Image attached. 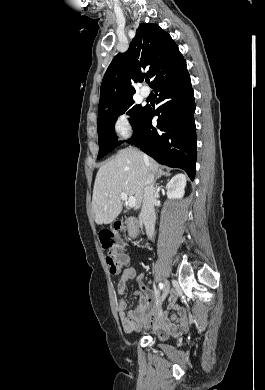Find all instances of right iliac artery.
<instances>
[{"label":"right iliac artery","instance_id":"1","mask_svg":"<svg viewBox=\"0 0 265 390\" xmlns=\"http://www.w3.org/2000/svg\"><path fill=\"white\" fill-rule=\"evenodd\" d=\"M163 287H164V284H163V283H159V288H160V290H162Z\"/></svg>","mask_w":265,"mask_h":390}]
</instances>
